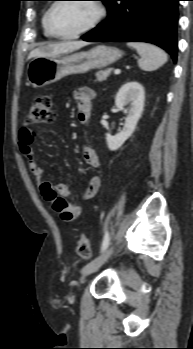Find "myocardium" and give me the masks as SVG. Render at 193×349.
Wrapping results in <instances>:
<instances>
[{"mask_svg": "<svg viewBox=\"0 0 193 349\" xmlns=\"http://www.w3.org/2000/svg\"><path fill=\"white\" fill-rule=\"evenodd\" d=\"M89 2H92L93 5L95 6L96 10H97V15L95 17V19L85 28L73 33V34H67V35H64V34H59L57 33L53 26H52V22H51V19H52V13L54 11V9L61 3V0H58V1H55L47 10L46 12V19H45V22H46V27H47V30L48 32L50 33V35L52 37H55L57 39H62V40H71V39H76L90 31H92L93 29H95L101 22L102 20L105 18L106 16V8L104 6V4L99 1V0H89Z\"/></svg>", "mask_w": 193, "mask_h": 349, "instance_id": "obj_1", "label": "myocardium"}]
</instances>
